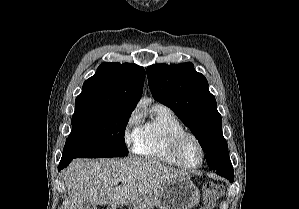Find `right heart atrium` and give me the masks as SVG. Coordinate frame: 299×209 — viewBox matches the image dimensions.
Wrapping results in <instances>:
<instances>
[{
    "instance_id": "1",
    "label": "right heart atrium",
    "mask_w": 299,
    "mask_h": 209,
    "mask_svg": "<svg viewBox=\"0 0 299 209\" xmlns=\"http://www.w3.org/2000/svg\"><path fill=\"white\" fill-rule=\"evenodd\" d=\"M139 127V115L137 111H132L128 116L123 130V139L127 146H134L137 140Z\"/></svg>"
}]
</instances>
